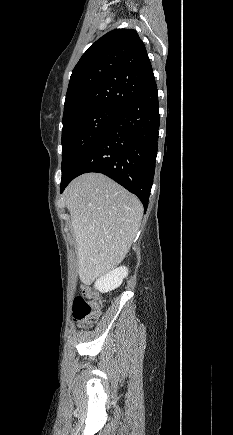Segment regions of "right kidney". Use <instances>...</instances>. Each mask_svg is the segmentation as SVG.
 <instances>
[{"label": "right kidney", "instance_id": "1", "mask_svg": "<svg viewBox=\"0 0 233 435\" xmlns=\"http://www.w3.org/2000/svg\"><path fill=\"white\" fill-rule=\"evenodd\" d=\"M128 276V268L125 266L118 267L104 276L100 277L95 282V288L98 289L102 293L110 292L116 288H118L123 279Z\"/></svg>", "mask_w": 233, "mask_h": 435}]
</instances>
